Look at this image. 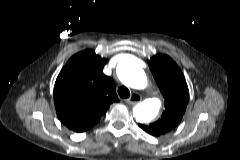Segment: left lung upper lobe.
I'll return each mask as SVG.
<instances>
[{"label":"left lung upper lobe","mask_w":240,"mask_h":160,"mask_svg":"<svg viewBox=\"0 0 240 160\" xmlns=\"http://www.w3.org/2000/svg\"><path fill=\"white\" fill-rule=\"evenodd\" d=\"M148 65L165 98V110L159 120L145 126L157 135H163L174 129L182 119L189 91L182 71L169 56H153ZM139 127L142 128L141 124Z\"/></svg>","instance_id":"left-lung-upper-lobe-1"}]
</instances>
